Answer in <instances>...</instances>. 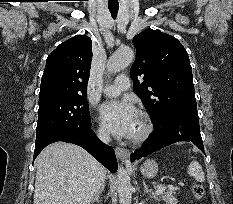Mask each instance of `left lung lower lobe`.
I'll return each mask as SVG.
<instances>
[{
	"instance_id": "0a47b994",
	"label": "left lung lower lobe",
	"mask_w": 233,
	"mask_h": 204,
	"mask_svg": "<svg viewBox=\"0 0 233 204\" xmlns=\"http://www.w3.org/2000/svg\"><path fill=\"white\" fill-rule=\"evenodd\" d=\"M152 122L153 134L144 142L142 148L131 154V161L146 157L178 141L193 142L204 152L198 117L170 115Z\"/></svg>"
}]
</instances>
